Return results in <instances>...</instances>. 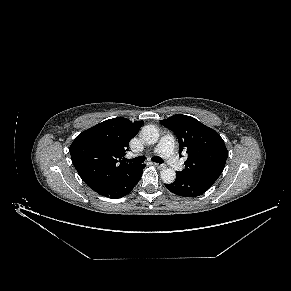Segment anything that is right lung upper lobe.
Segmentation results:
<instances>
[{
  "mask_svg": "<svg viewBox=\"0 0 291 291\" xmlns=\"http://www.w3.org/2000/svg\"><path fill=\"white\" fill-rule=\"evenodd\" d=\"M143 121L113 118L99 123L72 142L69 151L82 180L90 187L131 172L137 164L126 163L129 141L137 135Z\"/></svg>",
  "mask_w": 291,
  "mask_h": 291,
  "instance_id": "cb5924a9",
  "label": "right lung upper lobe"
}]
</instances>
